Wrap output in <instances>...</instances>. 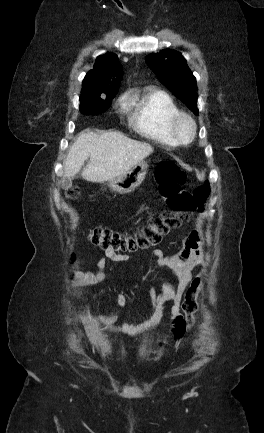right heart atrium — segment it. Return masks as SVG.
Returning <instances> with one entry per match:
<instances>
[{"mask_svg":"<svg viewBox=\"0 0 264 433\" xmlns=\"http://www.w3.org/2000/svg\"><path fill=\"white\" fill-rule=\"evenodd\" d=\"M119 105L120 106L125 105V99L124 98H122V99L119 100Z\"/></svg>","mask_w":264,"mask_h":433,"instance_id":"1","label":"right heart atrium"}]
</instances>
